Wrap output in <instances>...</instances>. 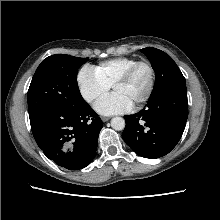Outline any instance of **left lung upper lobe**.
I'll return each instance as SVG.
<instances>
[{
  "instance_id": "1",
  "label": "left lung upper lobe",
  "mask_w": 220,
  "mask_h": 220,
  "mask_svg": "<svg viewBox=\"0 0 220 220\" xmlns=\"http://www.w3.org/2000/svg\"><path fill=\"white\" fill-rule=\"evenodd\" d=\"M141 52L148 57L156 73V82L151 97L170 88L186 85L183 74L168 54L150 47L141 49Z\"/></svg>"
}]
</instances>
